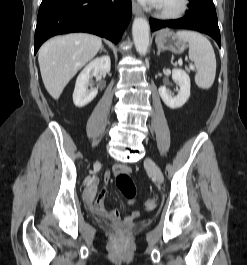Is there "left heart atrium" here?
Returning <instances> with one entry per match:
<instances>
[{
  "label": "left heart atrium",
  "mask_w": 247,
  "mask_h": 265,
  "mask_svg": "<svg viewBox=\"0 0 247 265\" xmlns=\"http://www.w3.org/2000/svg\"><path fill=\"white\" fill-rule=\"evenodd\" d=\"M144 4L158 5L161 0H140Z\"/></svg>",
  "instance_id": "left-heart-atrium-1"
}]
</instances>
